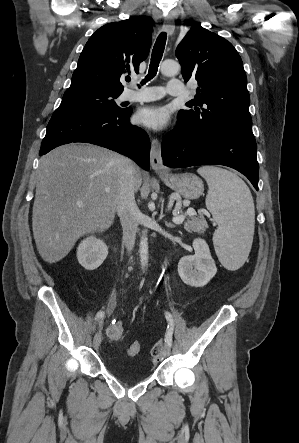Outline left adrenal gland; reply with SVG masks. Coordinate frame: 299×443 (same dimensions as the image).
<instances>
[{
    "label": "left adrenal gland",
    "instance_id": "a2214340",
    "mask_svg": "<svg viewBox=\"0 0 299 443\" xmlns=\"http://www.w3.org/2000/svg\"><path fill=\"white\" fill-rule=\"evenodd\" d=\"M165 224H166V226L169 227V228H173V227H174V225L171 224V223L165 222Z\"/></svg>",
    "mask_w": 299,
    "mask_h": 443
}]
</instances>
